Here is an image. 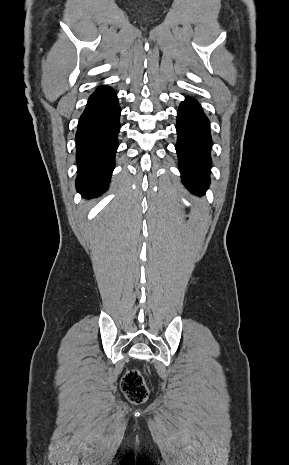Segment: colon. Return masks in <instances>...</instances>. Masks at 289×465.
Segmentation results:
<instances>
[{"mask_svg": "<svg viewBox=\"0 0 289 465\" xmlns=\"http://www.w3.org/2000/svg\"><path fill=\"white\" fill-rule=\"evenodd\" d=\"M121 388L133 403L143 402L148 395L144 379L138 370H130L124 375Z\"/></svg>", "mask_w": 289, "mask_h": 465, "instance_id": "1", "label": "colon"}]
</instances>
